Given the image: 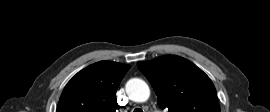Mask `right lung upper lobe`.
Returning a JSON list of instances; mask_svg holds the SVG:
<instances>
[{
	"label": "right lung upper lobe",
	"instance_id": "obj_1",
	"mask_svg": "<svg viewBox=\"0 0 270 112\" xmlns=\"http://www.w3.org/2000/svg\"><path fill=\"white\" fill-rule=\"evenodd\" d=\"M127 64L100 61L78 72L66 85L57 112H115L117 88Z\"/></svg>",
	"mask_w": 270,
	"mask_h": 112
}]
</instances>
